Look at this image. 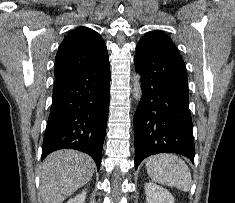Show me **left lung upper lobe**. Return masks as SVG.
<instances>
[{
  "instance_id": "left-lung-upper-lobe-1",
  "label": "left lung upper lobe",
  "mask_w": 235,
  "mask_h": 203,
  "mask_svg": "<svg viewBox=\"0 0 235 203\" xmlns=\"http://www.w3.org/2000/svg\"><path fill=\"white\" fill-rule=\"evenodd\" d=\"M140 41L159 42L168 47H171L174 51L178 52L175 44L172 42L170 37H168V35H166L165 33L161 31L148 32L144 37L140 39Z\"/></svg>"
}]
</instances>
